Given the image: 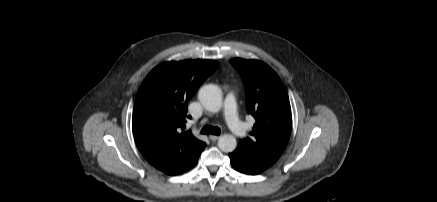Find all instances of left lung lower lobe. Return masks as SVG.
Returning a JSON list of instances; mask_svg holds the SVG:
<instances>
[{
	"instance_id": "0a47b994",
	"label": "left lung lower lobe",
	"mask_w": 437,
	"mask_h": 202,
	"mask_svg": "<svg viewBox=\"0 0 437 202\" xmlns=\"http://www.w3.org/2000/svg\"><path fill=\"white\" fill-rule=\"evenodd\" d=\"M233 168L249 175H257L269 168V166L249 156L239 148L229 154Z\"/></svg>"
}]
</instances>
